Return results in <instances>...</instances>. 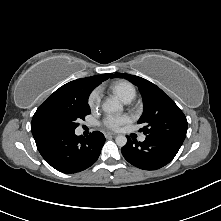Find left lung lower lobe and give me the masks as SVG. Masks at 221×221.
I'll use <instances>...</instances> for the list:
<instances>
[{
	"mask_svg": "<svg viewBox=\"0 0 221 221\" xmlns=\"http://www.w3.org/2000/svg\"><path fill=\"white\" fill-rule=\"evenodd\" d=\"M121 149L124 158L144 170H156L168 164L179 151L184 140L170 137H148L137 142L127 137Z\"/></svg>",
	"mask_w": 221,
	"mask_h": 221,
	"instance_id": "0a47b994",
	"label": "left lung lower lobe"
}]
</instances>
